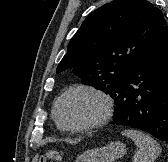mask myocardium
<instances>
[{
    "label": "myocardium",
    "instance_id": "1",
    "mask_svg": "<svg viewBox=\"0 0 168 162\" xmlns=\"http://www.w3.org/2000/svg\"><path fill=\"white\" fill-rule=\"evenodd\" d=\"M78 92H85V93H90V94L94 95L98 100H100V102L102 104V111L98 117H96L95 119H93L90 122H87L85 124H81V125H77V126L64 125L61 122L60 116H59L60 104L62 103V101L66 97H68L69 95H71L73 93H78ZM112 114H113V101H112L111 97L103 90H101L97 87H94L91 85H85V84L76 85V86L70 87L67 90H65L57 98V100L54 103V107H53V116H54V119H55L57 126L60 129H62L64 131H68V132H82V131H88V130H92V129L101 127L109 121Z\"/></svg>",
    "mask_w": 168,
    "mask_h": 162
}]
</instances>
